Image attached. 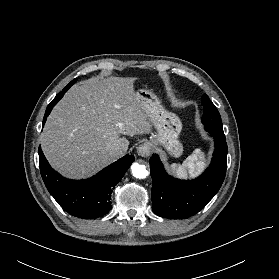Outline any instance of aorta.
<instances>
[{"label":"aorta","instance_id":"obj_1","mask_svg":"<svg viewBox=\"0 0 279 279\" xmlns=\"http://www.w3.org/2000/svg\"><path fill=\"white\" fill-rule=\"evenodd\" d=\"M131 170L135 178L144 179L148 176V171L144 165L133 163L131 166Z\"/></svg>","mask_w":279,"mask_h":279}]
</instances>
